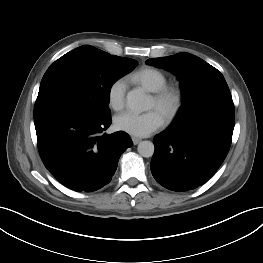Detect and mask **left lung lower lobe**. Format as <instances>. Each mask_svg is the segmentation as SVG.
<instances>
[{"instance_id": "1", "label": "left lung lower lobe", "mask_w": 263, "mask_h": 263, "mask_svg": "<svg viewBox=\"0 0 263 263\" xmlns=\"http://www.w3.org/2000/svg\"><path fill=\"white\" fill-rule=\"evenodd\" d=\"M234 123V109H217L175 121L153 139L151 172L155 180L177 192L206 183L227 156Z\"/></svg>"}]
</instances>
